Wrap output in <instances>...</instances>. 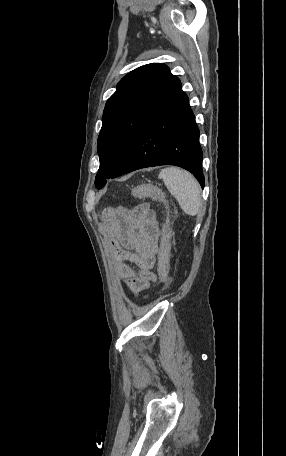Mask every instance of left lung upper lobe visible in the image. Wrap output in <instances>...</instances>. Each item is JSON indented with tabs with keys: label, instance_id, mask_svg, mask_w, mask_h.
Instances as JSON below:
<instances>
[{
	"label": "left lung upper lobe",
	"instance_id": "obj_1",
	"mask_svg": "<svg viewBox=\"0 0 286 456\" xmlns=\"http://www.w3.org/2000/svg\"><path fill=\"white\" fill-rule=\"evenodd\" d=\"M181 87V81L161 63L141 66L122 78L102 116L97 143L100 167L95 178L98 189L113 177L140 132Z\"/></svg>",
	"mask_w": 286,
	"mask_h": 456
}]
</instances>
